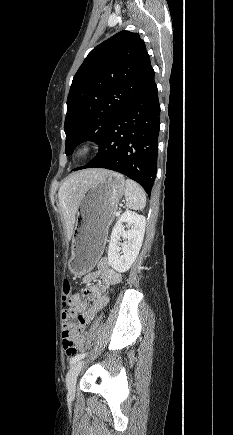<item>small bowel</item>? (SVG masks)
Here are the masks:
<instances>
[{"label":"small bowel","mask_w":233,"mask_h":435,"mask_svg":"<svg viewBox=\"0 0 233 435\" xmlns=\"http://www.w3.org/2000/svg\"><path fill=\"white\" fill-rule=\"evenodd\" d=\"M97 278H100V282L93 283ZM83 281L85 286L80 293H74L70 296L69 309L62 315L63 330L68 327L72 330L73 325L69 319L79 315V322L74 325L76 328L75 342L79 347L85 344L87 338L86 325L106 306L109 301L106 290L119 283L120 275L109 266L106 258H102L98 263L97 270L87 273ZM88 300L92 301L91 305H89Z\"/></svg>","instance_id":"obj_1"}]
</instances>
